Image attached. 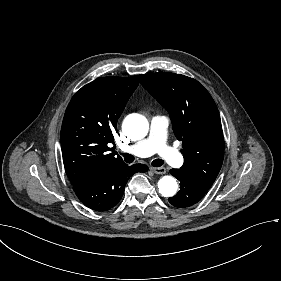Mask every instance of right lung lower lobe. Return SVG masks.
Here are the masks:
<instances>
[{
	"mask_svg": "<svg viewBox=\"0 0 281 281\" xmlns=\"http://www.w3.org/2000/svg\"><path fill=\"white\" fill-rule=\"evenodd\" d=\"M147 170L148 167L144 164L125 165L73 189L84 205L96 211H106L120 201L129 178L136 172Z\"/></svg>",
	"mask_w": 281,
	"mask_h": 281,
	"instance_id": "obj_1",
	"label": "right lung lower lobe"
}]
</instances>
